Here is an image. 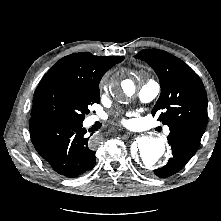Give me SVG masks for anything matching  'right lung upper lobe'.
<instances>
[{"mask_svg": "<svg viewBox=\"0 0 221 221\" xmlns=\"http://www.w3.org/2000/svg\"><path fill=\"white\" fill-rule=\"evenodd\" d=\"M123 59V56L101 57L89 52L71 54L53 65L41 82L49 78L60 77L93 88L99 86L102 76Z\"/></svg>", "mask_w": 221, "mask_h": 221, "instance_id": "cb5924a9", "label": "right lung upper lobe"}]
</instances>
